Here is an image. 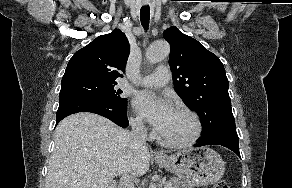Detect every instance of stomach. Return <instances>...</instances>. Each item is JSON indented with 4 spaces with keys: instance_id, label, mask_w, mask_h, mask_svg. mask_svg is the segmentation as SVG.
<instances>
[{
    "instance_id": "stomach-1",
    "label": "stomach",
    "mask_w": 292,
    "mask_h": 188,
    "mask_svg": "<svg viewBox=\"0 0 292 188\" xmlns=\"http://www.w3.org/2000/svg\"><path fill=\"white\" fill-rule=\"evenodd\" d=\"M155 160L190 186L211 185L217 182L225 171L222 157L209 147L184 149Z\"/></svg>"
}]
</instances>
